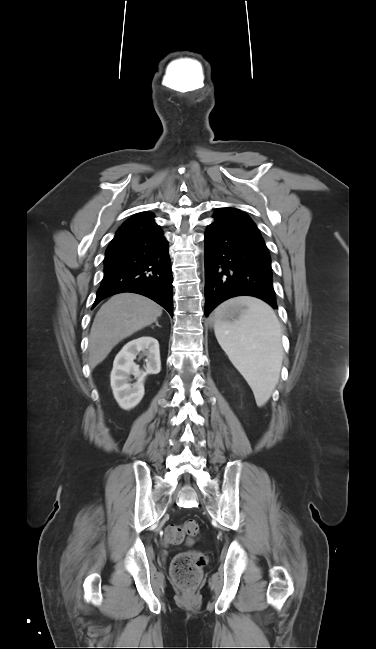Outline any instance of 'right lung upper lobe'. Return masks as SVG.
<instances>
[{
    "label": "right lung upper lobe",
    "mask_w": 376,
    "mask_h": 649,
    "mask_svg": "<svg viewBox=\"0 0 376 649\" xmlns=\"http://www.w3.org/2000/svg\"><path fill=\"white\" fill-rule=\"evenodd\" d=\"M160 229L154 222L153 213H140L129 218L116 232L111 242H117L130 237L150 233Z\"/></svg>",
    "instance_id": "obj_1"
}]
</instances>
